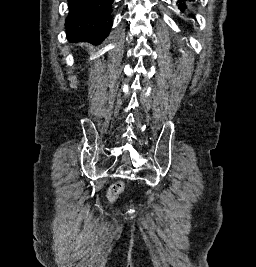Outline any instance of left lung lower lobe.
Here are the masks:
<instances>
[{"label": "left lung lower lobe", "instance_id": "obj_1", "mask_svg": "<svg viewBox=\"0 0 256 267\" xmlns=\"http://www.w3.org/2000/svg\"><path fill=\"white\" fill-rule=\"evenodd\" d=\"M179 7H180L181 10H183V9L186 8L185 5H184V4H181V3H180V5H179Z\"/></svg>", "mask_w": 256, "mask_h": 267}]
</instances>
